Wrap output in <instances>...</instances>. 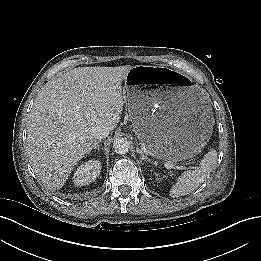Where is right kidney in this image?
Here are the masks:
<instances>
[{
  "instance_id": "right-kidney-1",
  "label": "right kidney",
  "mask_w": 261,
  "mask_h": 261,
  "mask_svg": "<svg viewBox=\"0 0 261 261\" xmlns=\"http://www.w3.org/2000/svg\"><path fill=\"white\" fill-rule=\"evenodd\" d=\"M99 160H89L80 165L73 175V183L76 186H86L96 180L101 171Z\"/></svg>"
}]
</instances>
